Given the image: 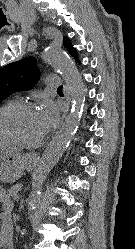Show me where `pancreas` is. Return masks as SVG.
Here are the masks:
<instances>
[{
  "instance_id": "1",
  "label": "pancreas",
  "mask_w": 135,
  "mask_h": 249,
  "mask_svg": "<svg viewBox=\"0 0 135 249\" xmlns=\"http://www.w3.org/2000/svg\"><path fill=\"white\" fill-rule=\"evenodd\" d=\"M19 190L18 186H13L10 189H8L5 194H6V198L9 199L10 197H13L16 195L17 191Z\"/></svg>"
}]
</instances>
